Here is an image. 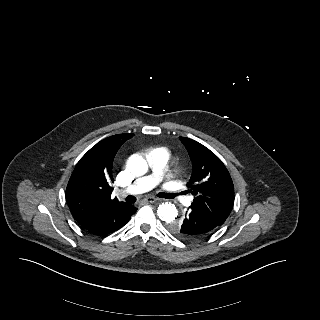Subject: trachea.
Here are the masks:
<instances>
[{
  "mask_svg": "<svg viewBox=\"0 0 320 320\" xmlns=\"http://www.w3.org/2000/svg\"><path fill=\"white\" fill-rule=\"evenodd\" d=\"M158 196L161 198L172 199L176 196V194L162 192V193H159ZM125 200L127 202L134 203L136 201V198L133 196H127Z\"/></svg>",
  "mask_w": 320,
  "mask_h": 320,
  "instance_id": "3493384b",
  "label": "trachea"
}]
</instances>
